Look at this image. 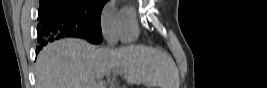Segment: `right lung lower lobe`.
I'll list each match as a JSON object with an SVG mask.
<instances>
[{
	"label": "right lung lower lobe",
	"mask_w": 267,
	"mask_h": 88,
	"mask_svg": "<svg viewBox=\"0 0 267 88\" xmlns=\"http://www.w3.org/2000/svg\"><path fill=\"white\" fill-rule=\"evenodd\" d=\"M39 16V20H41V24L38 25V41L41 43L39 49L49 41L60 37L82 38L94 44H99L103 40L100 34L89 31L84 25L77 24L72 19L60 14L39 9Z\"/></svg>",
	"instance_id": "obj_1"
}]
</instances>
